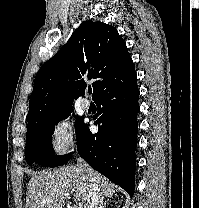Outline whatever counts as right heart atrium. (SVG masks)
Here are the masks:
<instances>
[{"label": "right heart atrium", "instance_id": "d8ad5b80", "mask_svg": "<svg viewBox=\"0 0 199 208\" xmlns=\"http://www.w3.org/2000/svg\"><path fill=\"white\" fill-rule=\"evenodd\" d=\"M77 144V135L73 121L69 118L58 120L50 133V147L58 156H65L72 152Z\"/></svg>", "mask_w": 199, "mask_h": 208}]
</instances>
